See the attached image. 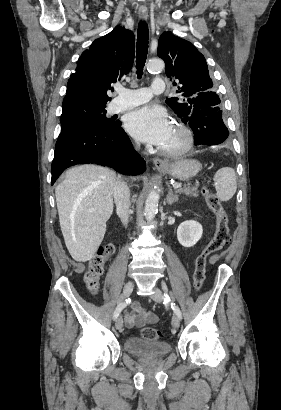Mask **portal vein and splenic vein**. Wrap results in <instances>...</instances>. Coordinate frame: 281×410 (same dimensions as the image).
Here are the masks:
<instances>
[{
    "label": "portal vein and splenic vein",
    "mask_w": 281,
    "mask_h": 410,
    "mask_svg": "<svg viewBox=\"0 0 281 410\" xmlns=\"http://www.w3.org/2000/svg\"><path fill=\"white\" fill-rule=\"evenodd\" d=\"M182 186V184L181 183H175V184H173V188L174 189H178V188H180ZM92 211H93V209H91Z\"/></svg>",
    "instance_id": "portal-vein-and-splenic-vein-1"
}]
</instances>
